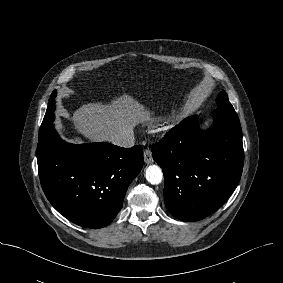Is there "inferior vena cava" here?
<instances>
[{
	"label": "inferior vena cava",
	"instance_id": "602c4592",
	"mask_svg": "<svg viewBox=\"0 0 283 283\" xmlns=\"http://www.w3.org/2000/svg\"><path fill=\"white\" fill-rule=\"evenodd\" d=\"M110 142L121 147H132L135 144L134 133L132 130L119 132L110 138Z\"/></svg>",
	"mask_w": 283,
	"mask_h": 283
}]
</instances>
